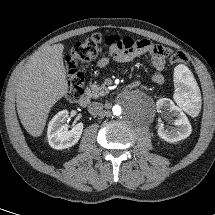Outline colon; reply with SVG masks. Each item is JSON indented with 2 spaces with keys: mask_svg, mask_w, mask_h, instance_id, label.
<instances>
[{
  "mask_svg": "<svg viewBox=\"0 0 215 215\" xmlns=\"http://www.w3.org/2000/svg\"><path fill=\"white\" fill-rule=\"evenodd\" d=\"M105 40L100 34H93L87 39L76 43L66 57V68L68 74V89L66 98L70 102H76L83 94V73L78 69L79 63L89 61L96 57L105 46ZM172 64H183L187 58L182 52H171L163 50Z\"/></svg>",
  "mask_w": 215,
  "mask_h": 215,
  "instance_id": "1",
  "label": "colon"
}]
</instances>
